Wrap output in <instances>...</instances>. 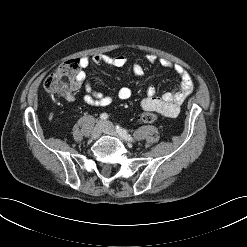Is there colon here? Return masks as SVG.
I'll return each instance as SVG.
<instances>
[{"mask_svg": "<svg viewBox=\"0 0 247 247\" xmlns=\"http://www.w3.org/2000/svg\"><path fill=\"white\" fill-rule=\"evenodd\" d=\"M79 60L71 59L59 66L44 82L45 92L50 97H66L79 86ZM142 123H154L159 114L153 111H144L139 114Z\"/></svg>", "mask_w": 247, "mask_h": 247, "instance_id": "obj_1", "label": "colon"}]
</instances>
